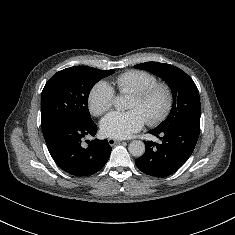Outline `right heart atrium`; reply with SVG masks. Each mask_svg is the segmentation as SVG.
Segmentation results:
<instances>
[{"mask_svg": "<svg viewBox=\"0 0 235 235\" xmlns=\"http://www.w3.org/2000/svg\"><path fill=\"white\" fill-rule=\"evenodd\" d=\"M115 101L113 88L105 81L97 82L88 95V107L95 116H100L110 110Z\"/></svg>", "mask_w": 235, "mask_h": 235, "instance_id": "right-heart-atrium-1", "label": "right heart atrium"}]
</instances>
